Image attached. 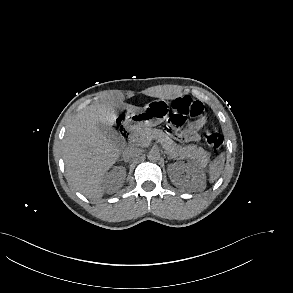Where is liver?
Returning a JSON list of instances; mask_svg holds the SVG:
<instances>
[{"instance_id":"6515ba94","label":"liver","mask_w":293,"mask_h":293,"mask_svg":"<svg viewBox=\"0 0 293 293\" xmlns=\"http://www.w3.org/2000/svg\"><path fill=\"white\" fill-rule=\"evenodd\" d=\"M117 108L131 114L141 111L140 107L114 101L91 104L73 118L63 139L66 178L88 198L103 196L101 179L122 151L119 143L111 141L98 129L99 124H115Z\"/></svg>"}]
</instances>
